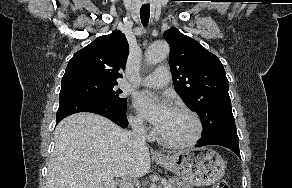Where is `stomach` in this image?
I'll list each match as a JSON object with an SVG mask.
<instances>
[{"label": "stomach", "mask_w": 292, "mask_h": 188, "mask_svg": "<svg viewBox=\"0 0 292 188\" xmlns=\"http://www.w3.org/2000/svg\"><path fill=\"white\" fill-rule=\"evenodd\" d=\"M156 161L190 186L212 185L225 173L224 160L208 147L182 150L172 156L156 158Z\"/></svg>", "instance_id": "1"}]
</instances>
